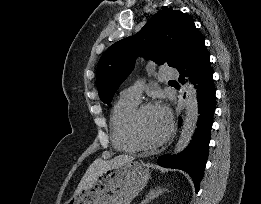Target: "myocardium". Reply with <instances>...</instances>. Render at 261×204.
Segmentation results:
<instances>
[{"label":"myocardium","instance_id":"myocardium-1","mask_svg":"<svg viewBox=\"0 0 261 204\" xmlns=\"http://www.w3.org/2000/svg\"><path fill=\"white\" fill-rule=\"evenodd\" d=\"M153 107H158L161 110L164 111V113L167 116V120H168V127L167 130L165 132V134L157 141L154 142H148L146 141L140 131H139V121L140 118L142 116V114L144 113V111H146L149 108H153ZM173 119H172V115L171 113L162 105H159L158 103L155 102H143L141 104H139L131 113L128 122H127V131L128 134L130 136V138L132 139V141L140 148V149H155L159 146H162L163 144H165L171 137L172 133H173Z\"/></svg>","mask_w":261,"mask_h":204}]
</instances>
